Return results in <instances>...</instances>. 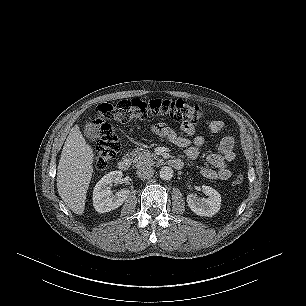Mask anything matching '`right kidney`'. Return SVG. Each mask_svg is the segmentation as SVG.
<instances>
[{"label":"right kidney","mask_w":306,"mask_h":306,"mask_svg":"<svg viewBox=\"0 0 306 306\" xmlns=\"http://www.w3.org/2000/svg\"><path fill=\"white\" fill-rule=\"evenodd\" d=\"M122 178L121 171H112L103 176L95 185L93 191V206L98 213H106L120 207L127 199L130 191L122 189L115 195L112 194L111 186L118 183Z\"/></svg>","instance_id":"obj_1"}]
</instances>
